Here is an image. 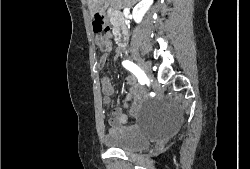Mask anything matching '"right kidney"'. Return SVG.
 Instances as JSON below:
<instances>
[{"label":"right kidney","mask_w":250,"mask_h":169,"mask_svg":"<svg viewBox=\"0 0 250 169\" xmlns=\"http://www.w3.org/2000/svg\"><path fill=\"white\" fill-rule=\"evenodd\" d=\"M153 0H140L132 10L133 18L136 22H141L145 12L149 10Z\"/></svg>","instance_id":"right-kidney-1"}]
</instances>
